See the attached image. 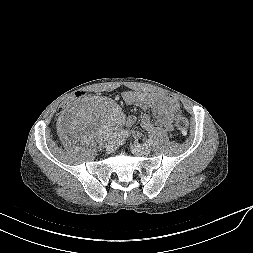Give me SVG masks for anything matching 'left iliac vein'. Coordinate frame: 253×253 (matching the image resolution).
<instances>
[{
    "label": "left iliac vein",
    "mask_w": 253,
    "mask_h": 253,
    "mask_svg": "<svg viewBox=\"0 0 253 253\" xmlns=\"http://www.w3.org/2000/svg\"><path fill=\"white\" fill-rule=\"evenodd\" d=\"M131 151L135 155H148L151 150L147 145L133 144Z\"/></svg>",
    "instance_id": "1"
}]
</instances>
